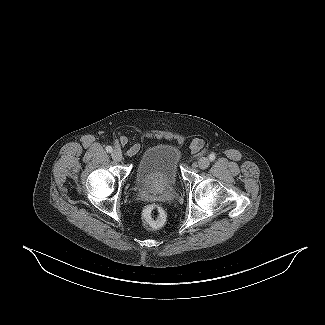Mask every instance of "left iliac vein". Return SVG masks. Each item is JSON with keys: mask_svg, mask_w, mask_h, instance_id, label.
<instances>
[{"mask_svg": "<svg viewBox=\"0 0 325 325\" xmlns=\"http://www.w3.org/2000/svg\"><path fill=\"white\" fill-rule=\"evenodd\" d=\"M210 164V161L208 158L206 157H201L199 160H198V167L200 169H206Z\"/></svg>", "mask_w": 325, "mask_h": 325, "instance_id": "1", "label": "left iliac vein"}]
</instances>
